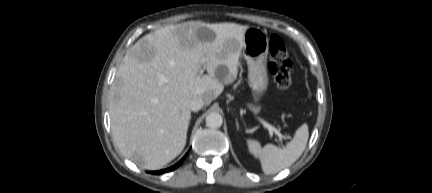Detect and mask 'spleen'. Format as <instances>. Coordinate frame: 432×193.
I'll return each instance as SVG.
<instances>
[{
    "label": "spleen",
    "instance_id": "obj_1",
    "mask_svg": "<svg viewBox=\"0 0 432 193\" xmlns=\"http://www.w3.org/2000/svg\"><path fill=\"white\" fill-rule=\"evenodd\" d=\"M308 138V126L303 124L284 148L273 144L261 147L260 143L253 139H248L247 145L250 153L260 159L263 172L266 175H272L288 168L300 158L306 148Z\"/></svg>",
    "mask_w": 432,
    "mask_h": 193
}]
</instances>
